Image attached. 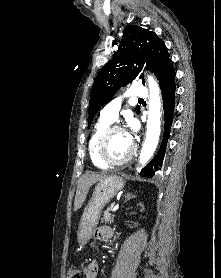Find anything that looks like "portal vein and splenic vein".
Segmentation results:
<instances>
[{
    "instance_id": "18ae733b",
    "label": "portal vein and splenic vein",
    "mask_w": 221,
    "mask_h": 278,
    "mask_svg": "<svg viewBox=\"0 0 221 278\" xmlns=\"http://www.w3.org/2000/svg\"><path fill=\"white\" fill-rule=\"evenodd\" d=\"M119 208V204L115 205L114 207L111 208L112 212L117 211V209Z\"/></svg>"
}]
</instances>
